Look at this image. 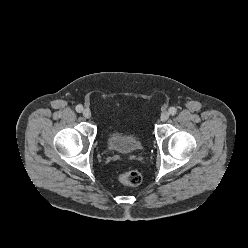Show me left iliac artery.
<instances>
[{
    "label": "left iliac artery",
    "mask_w": 248,
    "mask_h": 248,
    "mask_svg": "<svg viewBox=\"0 0 248 248\" xmlns=\"http://www.w3.org/2000/svg\"><path fill=\"white\" fill-rule=\"evenodd\" d=\"M177 113V109L175 108V107H171L170 109H169V114L170 115H175Z\"/></svg>",
    "instance_id": "1"
}]
</instances>
